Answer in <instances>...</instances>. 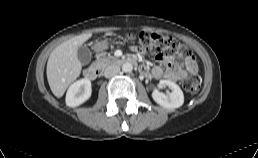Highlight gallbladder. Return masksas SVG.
Here are the masks:
<instances>
[{"label": "gallbladder", "mask_w": 258, "mask_h": 158, "mask_svg": "<svg viewBox=\"0 0 258 158\" xmlns=\"http://www.w3.org/2000/svg\"><path fill=\"white\" fill-rule=\"evenodd\" d=\"M77 56L82 65H87L91 61V51L86 45L78 47Z\"/></svg>", "instance_id": "gallbladder-1"}]
</instances>
